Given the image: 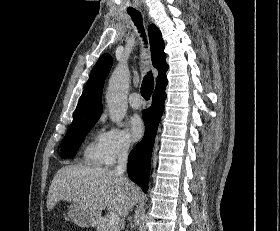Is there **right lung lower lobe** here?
<instances>
[{
  "mask_svg": "<svg viewBox=\"0 0 280 231\" xmlns=\"http://www.w3.org/2000/svg\"><path fill=\"white\" fill-rule=\"evenodd\" d=\"M166 99L165 88L154 91L152 106L143 112L145 135L140 143L131 151L128 158V174L130 179L138 184L145 192L149 181V170L154 138L158 123L164 109Z\"/></svg>",
  "mask_w": 280,
  "mask_h": 231,
  "instance_id": "1",
  "label": "right lung lower lobe"
}]
</instances>
